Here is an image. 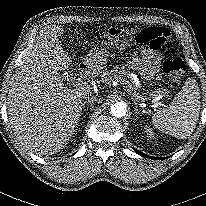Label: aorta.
I'll return each mask as SVG.
<instances>
[{"instance_id":"aorta-1","label":"aorta","mask_w":206,"mask_h":206,"mask_svg":"<svg viewBox=\"0 0 206 206\" xmlns=\"http://www.w3.org/2000/svg\"><path fill=\"white\" fill-rule=\"evenodd\" d=\"M126 111L127 107L122 102L115 103L110 108L111 115L117 118H122L123 116H125Z\"/></svg>"}]
</instances>
